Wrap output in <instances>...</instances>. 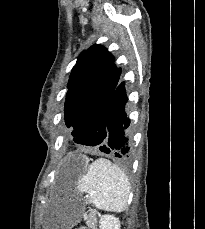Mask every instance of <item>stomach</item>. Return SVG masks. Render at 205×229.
I'll use <instances>...</instances> for the list:
<instances>
[{
    "instance_id": "0dacf381",
    "label": "stomach",
    "mask_w": 205,
    "mask_h": 229,
    "mask_svg": "<svg viewBox=\"0 0 205 229\" xmlns=\"http://www.w3.org/2000/svg\"><path fill=\"white\" fill-rule=\"evenodd\" d=\"M87 167V159L80 160V170ZM81 218V210L64 203L61 200L54 201L46 206L42 213V226L44 229H71Z\"/></svg>"
}]
</instances>
